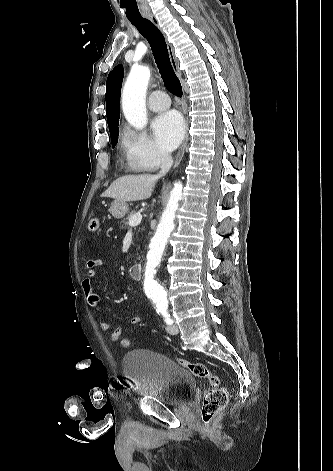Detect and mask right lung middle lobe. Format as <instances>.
I'll list each match as a JSON object with an SVG mask.
<instances>
[{
  "instance_id": "1",
  "label": "right lung middle lobe",
  "mask_w": 333,
  "mask_h": 471,
  "mask_svg": "<svg viewBox=\"0 0 333 471\" xmlns=\"http://www.w3.org/2000/svg\"><path fill=\"white\" fill-rule=\"evenodd\" d=\"M118 134H119V128L118 126L110 132V135H111V142H112V146L114 147L116 144H117V141H118Z\"/></svg>"
}]
</instances>
